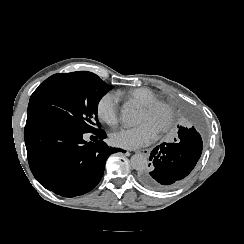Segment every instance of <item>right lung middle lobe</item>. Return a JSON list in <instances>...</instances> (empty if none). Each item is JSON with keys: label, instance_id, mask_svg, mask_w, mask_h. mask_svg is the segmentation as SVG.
<instances>
[{"label": "right lung middle lobe", "instance_id": "right-lung-middle-lobe-1", "mask_svg": "<svg viewBox=\"0 0 244 244\" xmlns=\"http://www.w3.org/2000/svg\"><path fill=\"white\" fill-rule=\"evenodd\" d=\"M113 88L87 71L55 74L32 94L27 122H47L79 132H94L100 99Z\"/></svg>", "mask_w": 244, "mask_h": 244}]
</instances>
